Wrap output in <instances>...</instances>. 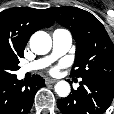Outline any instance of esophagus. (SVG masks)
I'll return each mask as SVG.
<instances>
[{"label": "esophagus", "instance_id": "34e87169", "mask_svg": "<svg viewBox=\"0 0 114 114\" xmlns=\"http://www.w3.org/2000/svg\"><path fill=\"white\" fill-rule=\"evenodd\" d=\"M56 82H57L56 79H51V78H47V79L45 80V83H46V84H54V83H56Z\"/></svg>", "mask_w": 114, "mask_h": 114}]
</instances>
